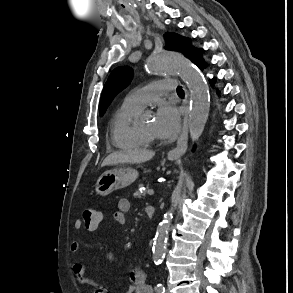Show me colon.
I'll list each match as a JSON object with an SVG mask.
<instances>
[{
	"mask_svg": "<svg viewBox=\"0 0 293 293\" xmlns=\"http://www.w3.org/2000/svg\"><path fill=\"white\" fill-rule=\"evenodd\" d=\"M82 220L86 227L96 228L101 220V213L99 210L87 207L82 211Z\"/></svg>",
	"mask_w": 293,
	"mask_h": 293,
	"instance_id": "1",
	"label": "colon"
}]
</instances>
